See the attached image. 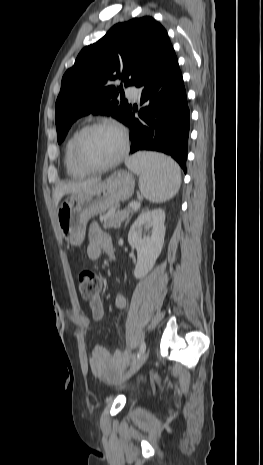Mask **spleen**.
I'll use <instances>...</instances> for the list:
<instances>
[{"label": "spleen", "mask_w": 263, "mask_h": 465, "mask_svg": "<svg viewBox=\"0 0 263 465\" xmlns=\"http://www.w3.org/2000/svg\"><path fill=\"white\" fill-rule=\"evenodd\" d=\"M125 164L139 176L140 192L151 202H165L180 188V167L171 157L156 152H138Z\"/></svg>", "instance_id": "spleen-1"}]
</instances>
